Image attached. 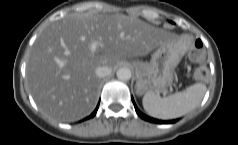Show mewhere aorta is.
I'll return each instance as SVG.
<instances>
[{"label":"aorta","mask_w":238,"mask_h":145,"mask_svg":"<svg viewBox=\"0 0 238 145\" xmlns=\"http://www.w3.org/2000/svg\"><path fill=\"white\" fill-rule=\"evenodd\" d=\"M116 75L119 80L127 81L130 80L132 73L129 68L122 67L117 70Z\"/></svg>","instance_id":"762f6f07"}]
</instances>
